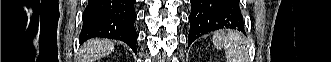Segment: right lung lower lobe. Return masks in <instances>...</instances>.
<instances>
[{
    "mask_svg": "<svg viewBox=\"0 0 331 62\" xmlns=\"http://www.w3.org/2000/svg\"><path fill=\"white\" fill-rule=\"evenodd\" d=\"M134 4L135 0H88L80 43L93 37L116 39L128 44L136 53Z\"/></svg>",
    "mask_w": 331,
    "mask_h": 62,
    "instance_id": "right-lung-lower-lobe-1",
    "label": "right lung lower lobe"
}]
</instances>
